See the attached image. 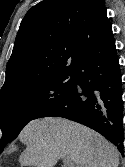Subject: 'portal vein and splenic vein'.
<instances>
[{"mask_svg": "<svg viewBox=\"0 0 125 167\" xmlns=\"http://www.w3.org/2000/svg\"><path fill=\"white\" fill-rule=\"evenodd\" d=\"M63 162H64V164L68 165L69 167H73V165H72V163L70 162L69 159L65 158V159L63 160Z\"/></svg>", "mask_w": 125, "mask_h": 167, "instance_id": "1", "label": "portal vein and splenic vein"}]
</instances>
